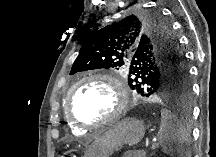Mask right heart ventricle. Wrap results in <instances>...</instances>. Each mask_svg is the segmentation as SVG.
I'll return each instance as SVG.
<instances>
[{"instance_id": "right-heart-ventricle-1", "label": "right heart ventricle", "mask_w": 216, "mask_h": 157, "mask_svg": "<svg viewBox=\"0 0 216 157\" xmlns=\"http://www.w3.org/2000/svg\"><path fill=\"white\" fill-rule=\"evenodd\" d=\"M69 127L71 128V130L73 131V132H81L83 129L81 128V127H79V126H77V125H75V124H73V123H71V122H69Z\"/></svg>"}]
</instances>
